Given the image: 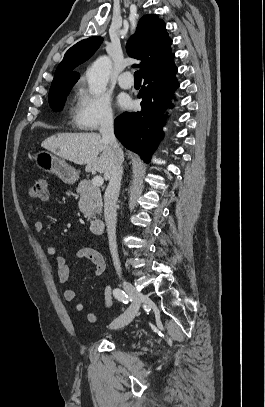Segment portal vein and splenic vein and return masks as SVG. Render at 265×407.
<instances>
[{
  "label": "portal vein and splenic vein",
  "mask_w": 265,
  "mask_h": 407,
  "mask_svg": "<svg viewBox=\"0 0 265 407\" xmlns=\"http://www.w3.org/2000/svg\"><path fill=\"white\" fill-rule=\"evenodd\" d=\"M104 180L101 176H94V178L92 179V184L94 186H101L103 184Z\"/></svg>",
  "instance_id": "portal-vein-and-splenic-vein-1"
}]
</instances>
